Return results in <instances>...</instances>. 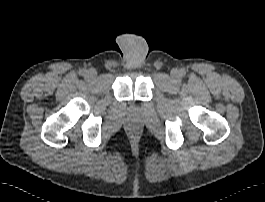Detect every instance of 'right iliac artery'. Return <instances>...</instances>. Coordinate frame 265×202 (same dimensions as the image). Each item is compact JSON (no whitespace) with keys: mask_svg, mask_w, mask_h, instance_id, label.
<instances>
[{"mask_svg":"<svg viewBox=\"0 0 265 202\" xmlns=\"http://www.w3.org/2000/svg\"><path fill=\"white\" fill-rule=\"evenodd\" d=\"M82 75L85 76V77L87 78L88 75H89V71L84 70V71L82 72Z\"/></svg>","mask_w":265,"mask_h":202,"instance_id":"82829eb1","label":"right iliac artery"}]
</instances>
